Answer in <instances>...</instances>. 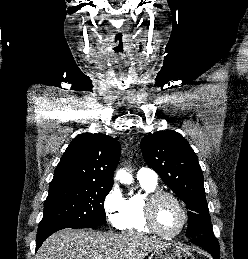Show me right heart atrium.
<instances>
[{
  "label": "right heart atrium",
  "instance_id": "obj_1",
  "mask_svg": "<svg viewBox=\"0 0 248 259\" xmlns=\"http://www.w3.org/2000/svg\"><path fill=\"white\" fill-rule=\"evenodd\" d=\"M103 207L110 225L116 229H121L126 208V199L117 184H113L106 194Z\"/></svg>",
  "mask_w": 248,
  "mask_h": 259
}]
</instances>
